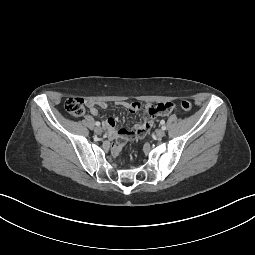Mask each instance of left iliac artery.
Returning <instances> with one entry per match:
<instances>
[{
  "mask_svg": "<svg viewBox=\"0 0 255 255\" xmlns=\"http://www.w3.org/2000/svg\"><path fill=\"white\" fill-rule=\"evenodd\" d=\"M162 129H163V130H166V126H162Z\"/></svg>",
  "mask_w": 255,
  "mask_h": 255,
  "instance_id": "obj_1",
  "label": "left iliac artery"
}]
</instances>
